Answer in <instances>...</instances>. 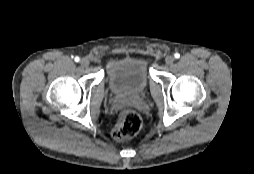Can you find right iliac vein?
<instances>
[{
	"label": "right iliac vein",
	"instance_id": "right-iliac-vein-1",
	"mask_svg": "<svg viewBox=\"0 0 254 174\" xmlns=\"http://www.w3.org/2000/svg\"><path fill=\"white\" fill-rule=\"evenodd\" d=\"M80 65H81L82 67H88V65H89V60H88L87 58H82V59L80 60Z\"/></svg>",
	"mask_w": 254,
	"mask_h": 174
}]
</instances>
